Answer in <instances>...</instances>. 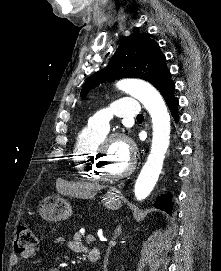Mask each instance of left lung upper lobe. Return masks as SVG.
<instances>
[{
    "instance_id": "5c2ea615",
    "label": "left lung upper lobe",
    "mask_w": 221,
    "mask_h": 271,
    "mask_svg": "<svg viewBox=\"0 0 221 271\" xmlns=\"http://www.w3.org/2000/svg\"><path fill=\"white\" fill-rule=\"evenodd\" d=\"M166 67V58L158 43L147 34H135L125 38L104 70L92 75L83 85L84 96L101 82H111L124 77L141 78L162 91L172 80Z\"/></svg>"
}]
</instances>
